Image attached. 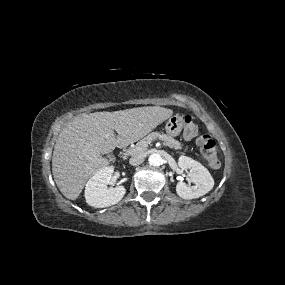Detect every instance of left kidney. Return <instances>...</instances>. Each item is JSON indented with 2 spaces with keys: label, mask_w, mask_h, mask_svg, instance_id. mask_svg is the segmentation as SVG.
<instances>
[{
  "label": "left kidney",
  "mask_w": 285,
  "mask_h": 285,
  "mask_svg": "<svg viewBox=\"0 0 285 285\" xmlns=\"http://www.w3.org/2000/svg\"><path fill=\"white\" fill-rule=\"evenodd\" d=\"M178 165L183 171L189 170L190 182L195 186H188L183 182L176 185L177 194L183 199H195L208 193L214 186V179L209 171L198 161L181 156Z\"/></svg>",
  "instance_id": "obj_1"
}]
</instances>
